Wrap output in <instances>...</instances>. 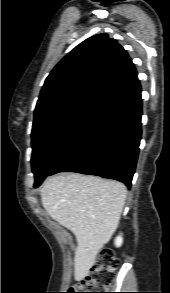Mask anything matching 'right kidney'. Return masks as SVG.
Instances as JSON below:
<instances>
[{
  "label": "right kidney",
  "instance_id": "right-kidney-1",
  "mask_svg": "<svg viewBox=\"0 0 170 293\" xmlns=\"http://www.w3.org/2000/svg\"><path fill=\"white\" fill-rule=\"evenodd\" d=\"M123 243V238L122 236H117L116 239H115V246L116 247H120Z\"/></svg>",
  "mask_w": 170,
  "mask_h": 293
}]
</instances>
